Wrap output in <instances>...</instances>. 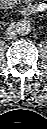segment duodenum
Segmentation results:
<instances>
[{
  "instance_id": "obj_1",
  "label": "duodenum",
  "mask_w": 47,
  "mask_h": 129,
  "mask_svg": "<svg viewBox=\"0 0 47 129\" xmlns=\"http://www.w3.org/2000/svg\"><path fill=\"white\" fill-rule=\"evenodd\" d=\"M37 7L35 5H28L26 6L24 9H23V12L25 14H30V13H33V12H37Z\"/></svg>"
}]
</instances>
